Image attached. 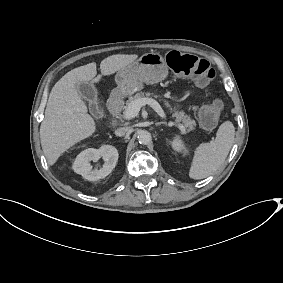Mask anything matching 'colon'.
I'll use <instances>...</instances> for the list:
<instances>
[{"label": "colon", "mask_w": 283, "mask_h": 283, "mask_svg": "<svg viewBox=\"0 0 283 283\" xmlns=\"http://www.w3.org/2000/svg\"><path fill=\"white\" fill-rule=\"evenodd\" d=\"M168 66L178 75L189 76L201 86H206L215 77V70L209 62L195 55L171 51L166 57ZM221 103L214 100L205 103L199 110V118L206 128H213L220 116Z\"/></svg>", "instance_id": "1"}]
</instances>
